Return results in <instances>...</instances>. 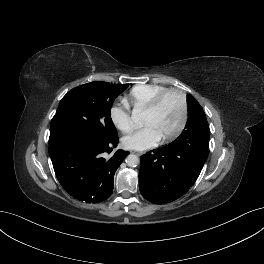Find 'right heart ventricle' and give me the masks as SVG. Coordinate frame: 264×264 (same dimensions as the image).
Instances as JSON below:
<instances>
[{
    "mask_svg": "<svg viewBox=\"0 0 264 264\" xmlns=\"http://www.w3.org/2000/svg\"><path fill=\"white\" fill-rule=\"evenodd\" d=\"M166 89L168 88L158 84L137 85L130 89L125 102L135 110H144L157 94Z\"/></svg>",
    "mask_w": 264,
    "mask_h": 264,
    "instance_id": "1",
    "label": "right heart ventricle"
}]
</instances>
